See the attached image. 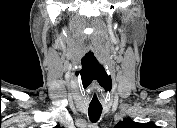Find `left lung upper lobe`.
<instances>
[{
	"label": "left lung upper lobe",
	"mask_w": 177,
	"mask_h": 128,
	"mask_svg": "<svg viewBox=\"0 0 177 128\" xmlns=\"http://www.w3.org/2000/svg\"><path fill=\"white\" fill-rule=\"evenodd\" d=\"M139 123H136V122H133L131 120H124V121H121L119 122L116 127L118 128H134L135 126H137Z\"/></svg>",
	"instance_id": "1"
}]
</instances>
